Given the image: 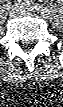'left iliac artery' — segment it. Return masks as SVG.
Segmentation results:
<instances>
[{"mask_svg":"<svg viewBox=\"0 0 63 107\" xmlns=\"http://www.w3.org/2000/svg\"><path fill=\"white\" fill-rule=\"evenodd\" d=\"M16 6H28L30 7L32 10H36L38 13H40L43 17H48L50 15V10L46 7L40 6L34 2H30V1H25V2H21L20 0H18L16 2Z\"/></svg>","mask_w":63,"mask_h":107,"instance_id":"44dca946","label":"left iliac artery"}]
</instances>
